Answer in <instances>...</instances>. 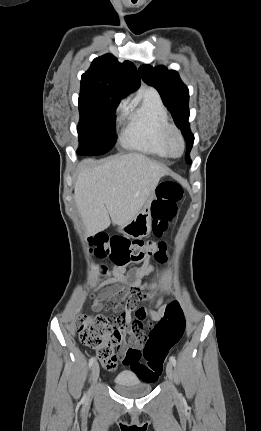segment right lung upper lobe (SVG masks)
Masks as SVG:
<instances>
[{"mask_svg": "<svg viewBox=\"0 0 261 431\" xmlns=\"http://www.w3.org/2000/svg\"><path fill=\"white\" fill-rule=\"evenodd\" d=\"M139 86L140 77L134 64L130 61L119 63L111 54L94 59L81 77V88L105 91L122 98Z\"/></svg>", "mask_w": 261, "mask_h": 431, "instance_id": "cb5924a9", "label": "right lung upper lobe"}]
</instances>
